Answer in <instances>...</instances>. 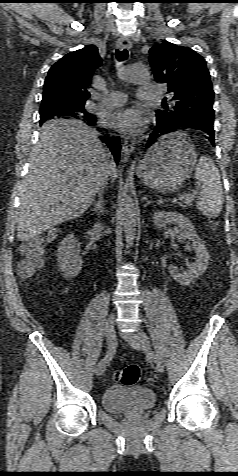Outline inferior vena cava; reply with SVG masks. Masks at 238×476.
<instances>
[{
	"mask_svg": "<svg viewBox=\"0 0 238 476\" xmlns=\"http://www.w3.org/2000/svg\"><path fill=\"white\" fill-rule=\"evenodd\" d=\"M114 165L115 164H114L113 160H111V162L109 164L108 174H110L111 170L114 168ZM103 187H101V189L99 191V194L102 192ZM101 230H102V226L100 224H97V231L100 232Z\"/></svg>",
	"mask_w": 238,
	"mask_h": 476,
	"instance_id": "obj_1",
	"label": "inferior vena cava"
}]
</instances>
